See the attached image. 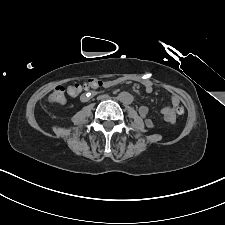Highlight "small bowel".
<instances>
[{
    "instance_id": "c3829d8e",
    "label": "small bowel",
    "mask_w": 225,
    "mask_h": 225,
    "mask_svg": "<svg viewBox=\"0 0 225 225\" xmlns=\"http://www.w3.org/2000/svg\"><path fill=\"white\" fill-rule=\"evenodd\" d=\"M93 82V86L88 90H96L103 85V82L98 79H91ZM145 91L147 93H151L153 91V86L150 83L144 84ZM168 94L171 97V103L160 110L162 114L163 120L168 124L172 125L176 121V108L181 105L180 97L172 91H168ZM90 93H85L81 96L82 101H86L89 98ZM139 114L145 118L146 126L151 128L154 126V120L148 118V108L144 105L139 107Z\"/></svg>"
}]
</instances>
